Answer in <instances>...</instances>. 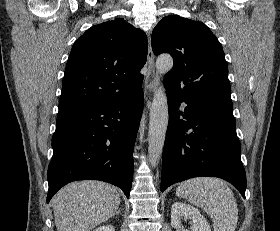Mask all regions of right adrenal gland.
<instances>
[{
	"instance_id": "right-adrenal-gland-1",
	"label": "right adrenal gland",
	"mask_w": 280,
	"mask_h": 231,
	"mask_svg": "<svg viewBox=\"0 0 280 231\" xmlns=\"http://www.w3.org/2000/svg\"><path fill=\"white\" fill-rule=\"evenodd\" d=\"M121 209H118V211H115L114 215H119Z\"/></svg>"
}]
</instances>
